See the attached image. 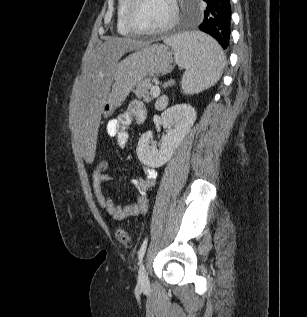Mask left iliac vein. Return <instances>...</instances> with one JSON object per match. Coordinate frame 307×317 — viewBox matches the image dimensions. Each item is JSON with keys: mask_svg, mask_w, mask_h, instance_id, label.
<instances>
[{"mask_svg": "<svg viewBox=\"0 0 307 317\" xmlns=\"http://www.w3.org/2000/svg\"><path fill=\"white\" fill-rule=\"evenodd\" d=\"M138 287L146 289L149 287V279L144 265L140 267L138 274Z\"/></svg>", "mask_w": 307, "mask_h": 317, "instance_id": "1", "label": "left iliac vein"}]
</instances>
